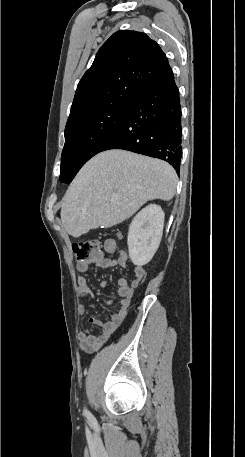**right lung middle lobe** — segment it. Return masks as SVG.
Instances as JSON below:
<instances>
[{"mask_svg":"<svg viewBox=\"0 0 245 457\" xmlns=\"http://www.w3.org/2000/svg\"><path fill=\"white\" fill-rule=\"evenodd\" d=\"M132 102L114 101L93 111L74 116L65 127L60 181L70 183L79 169L114 134Z\"/></svg>","mask_w":245,"mask_h":457,"instance_id":"dd1d6c3e","label":"right lung middle lobe"}]
</instances>
